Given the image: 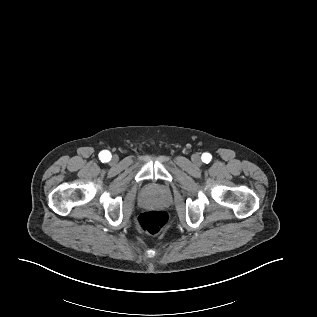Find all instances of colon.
Wrapping results in <instances>:
<instances>
[{"label":"colon","instance_id":"colon-1","mask_svg":"<svg viewBox=\"0 0 317 317\" xmlns=\"http://www.w3.org/2000/svg\"><path fill=\"white\" fill-rule=\"evenodd\" d=\"M167 221V213L160 209L145 211L138 217L140 228L150 235L159 233L165 227Z\"/></svg>","mask_w":317,"mask_h":317}]
</instances>
